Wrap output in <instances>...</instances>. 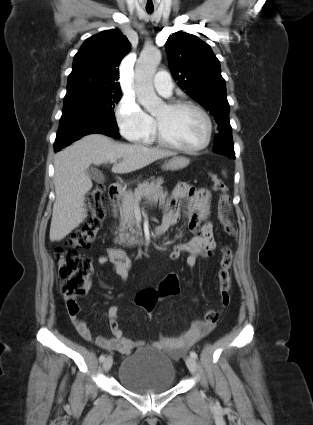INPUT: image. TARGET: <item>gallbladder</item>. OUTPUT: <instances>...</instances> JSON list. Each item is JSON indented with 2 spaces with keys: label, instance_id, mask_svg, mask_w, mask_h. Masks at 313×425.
I'll return each mask as SVG.
<instances>
[{
  "label": "gallbladder",
  "instance_id": "gallbladder-1",
  "mask_svg": "<svg viewBox=\"0 0 313 425\" xmlns=\"http://www.w3.org/2000/svg\"><path fill=\"white\" fill-rule=\"evenodd\" d=\"M88 174L97 183H103L104 180H105L104 175L100 171H98L97 169L88 170Z\"/></svg>",
  "mask_w": 313,
  "mask_h": 425
}]
</instances>
